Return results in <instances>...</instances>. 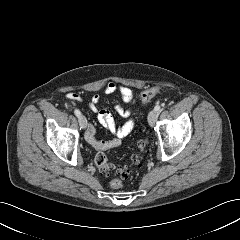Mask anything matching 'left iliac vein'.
<instances>
[{"instance_id":"obj_1","label":"left iliac vein","mask_w":240,"mask_h":240,"mask_svg":"<svg viewBox=\"0 0 240 240\" xmlns=\"http://www.w3.org/2000/svg\"><path fill=\"white\" fill-rule=\"evenodd\" d=\"M158 114L159 113L155 110H152V111L149 112L148 123H149L150 126H154V124L156 123Z\"/></svg>"}]
</instances>
